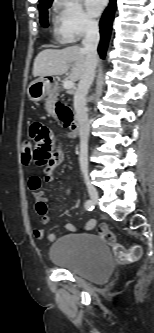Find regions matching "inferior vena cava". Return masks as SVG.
Here are the masks:
<instances>
[{"label":"inferior vena cava","instance_id":"inferior-vena-cava-1","mask_svg":"<svg viewBox=\"0 0 154 333\" xmlns=\"http://www.w3.org/2000/svg\"><path fill=\"white\" fill-rule=\"evenodd\" d=\"M99 40L100 35L97 22L87 21L85 23V37L82 40L83 49L86 52V68L74 94V109L80 136L79 164L83 174L88 173L87 153L90 132V122L86 108V96L95 77V70L98 62L97 46Z\"/></svg>","mask_w":154,"mask_h":333}]
</instances>
